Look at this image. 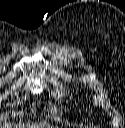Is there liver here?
<instances>
[{"instance_id": "obj_1", "label": "liver", "mask_w": 125, "mask_h": 128, "mask_svg": "<svg viewBox=\"0 0 125 128\" xmlns=\"http://www.w3.org/2000/svg\"><path fill=\"white\" fill-rule=\"evenodd\" d=\"M0 128H1V124H0ZM49 128H52V127L49 126Z\"/></svg>"}]
</instances>
